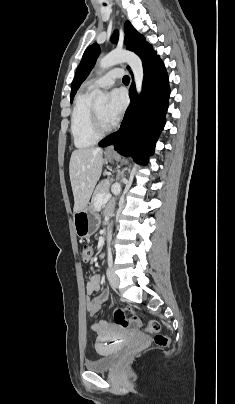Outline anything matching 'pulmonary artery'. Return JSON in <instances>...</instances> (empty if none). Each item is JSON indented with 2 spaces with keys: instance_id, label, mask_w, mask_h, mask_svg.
Masks as SVG:
<instances>
[{
  "instance_id": "e3ab8cb5",
  "label": "pulmonary artery",
  "mask_w": 235,
  "mask_h": 404,
  "mask_svg": "<svg viewBox=\"0 0 235 404\" xmlns=\"http://www.w3.org/2000/svg\"><path fill=\"white\" fill-rule=\"evenodd\" d=\"M122 74V69L116 68L110 70L103 76L90 80L86 85V89L90 91L98 88H109L115 83L117 78L122 76Z\"/></svg>"
}]
</instances>
